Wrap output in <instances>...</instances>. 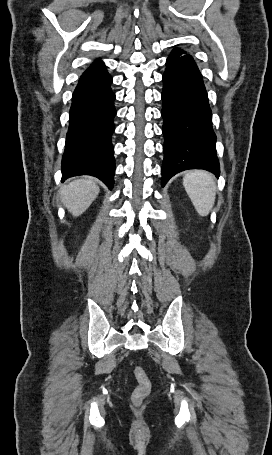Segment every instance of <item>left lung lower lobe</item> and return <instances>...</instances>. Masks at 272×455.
<instances>
[{"label": "left lung lower lobe", "instance_id": "0a47b994", "mask_svg": "<svg viewBox=\"0 0 272 455\" xmlns=\"http://www.w3.org/2000/svg\"><path fill=\"white\" fill-rule=\"evenodd\" d=\"M162 80V186L187 169H205L219 177L212 112L195 61L189 54L169 56Z\"/></svg>", "mask_w": 272, "mask_h": 455}]
</instances>
